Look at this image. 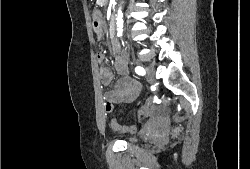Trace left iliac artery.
I'll use <instances>...</instances> for the list:
<instances>
[{
    "label": "left iliac artery",
    "mask_w": 250,
    "mask_h": 169,
    "mask_svg": "<svg viewBox=\"0 0 250 169\" xmlns=\"http://www.w3.org/2000/svg\"><path fill=\"white\" fill-rule=\"evenodd\" d=\"M135 72L138 74V75H141V76H144L146 74V71L143 67L141 66H137L135 68Z\"/></svg>",
    "instance_id": "44dca946"
}]
</instances>
